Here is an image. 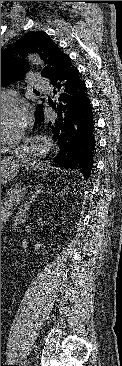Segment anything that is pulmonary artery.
Wrapping results in <instances>:
<instances>
[{
	"mask_svg": "<svg viewBox=\"0 0 122 366\" xmlns=\"http://www.w3.org/2000/svg\"><path fill=\"white\" fill-rule=\"evenodd\" d=\"M30 79L32 80V82L34 83V86H36V87L41 88V87L45 86V82L42 79L38 78L37 76L31 75Z\"/></svg>",
	"mask_w": 122,
	"mask_h": 366,
	"instance_id": "1",
	"label": "pulmonary artery"
}]
</instances>
